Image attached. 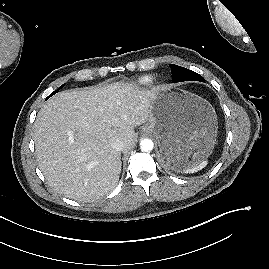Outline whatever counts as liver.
<instances>
[{
  "mask_svg": "<svg viewBox=\"0 0 269 269\" xmlns=\"http://www.w3.org/2000/svg\"><path fill=\"white\" fill-rule=\"evenodd\" d=\"M155 91L115 82L50 98L34 123L37 160L49 185L79 202L111 192L121 172V153L111 144L134 146L133 128L149 119Z\"/></svg>",
  "mask_w": 269,
  "mask_h": 269,
  "instance_id": "obj_1",
  "label": "liver"
}]
</instances>
